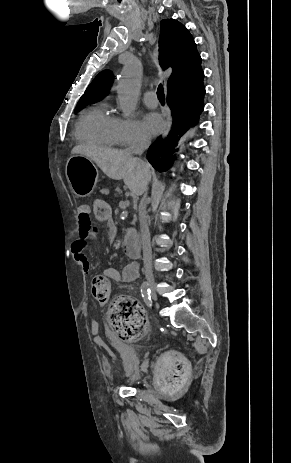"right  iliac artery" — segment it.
Returning <instances> with one entry per match:
<instances>
[{
	"label": "right iliac artery",
	"instance_id": "1",
	"mask_svg": "<svg viewBox=\"0 0 291 463\" xmlns=\"http://www.w3.org/2000/svg\"><path fill=\"white\" fill-rule=\"evenodd\" d=\"M151 290L149 288V285L147 282H143L141 285V295L147 304L148 307L152 306V301H151Z\"/></svg>",
	"mask_w": 291,
	"mask_h": 463
}]
</instances>
